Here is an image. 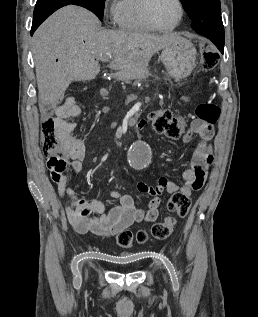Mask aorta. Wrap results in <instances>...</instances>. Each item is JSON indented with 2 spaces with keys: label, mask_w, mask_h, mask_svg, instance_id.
<instances>
[{
  "label": "aorta",
  "mask_w": 258,
  "mask_h": 317,
  "mask_svg": "<svg viewBox=\"0 0 258 317\" xmlns=\"http://www.w3.org/2000/svg\"><path fill=\"white\" fill-rule=\"evenodd\" d=\"M151 159L150 148L144 142H137L130 151V163L136 169H143Z\"/></svg>",
  "instance_id": "1"
}]
</instances>
